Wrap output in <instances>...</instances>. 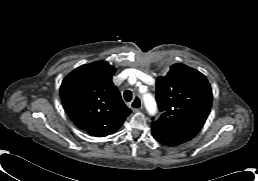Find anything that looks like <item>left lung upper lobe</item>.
<instances>
[{
    "label": "left lung upper lobe",
    "mask_w": 258,
    "mask_h": 181,
    "mask_svg": "<svg viewBox=\"0 0 258 181\" xmlns=\"http://www.w3.org/2000/svg\"><path fill=\"white\" fill-rule=\"evenodd\" d=\"M161 117L152 125L193 138L205 123L212 104L206 77L184 64H174L156 82Z\"/></svg>",
    "instance_id": "obj_1"
}]
</instances>
